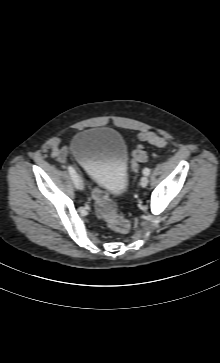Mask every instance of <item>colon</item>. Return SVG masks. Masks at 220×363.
Instances as JSON below:
<instances>
[{
    "label": "colon",
    "instance_id": "5ec220e1",
    "mask_svg": "<svg viewBox=\"0 0 220 363\" xmlns=\"http://www.w3.org/2000/svg\"><path fill=\"white\" fill-rule=\"evenodd\" d=\"M140 139L156 146H163L166 140L154 132H143ZM147 160V152L142 144L136 146L132 153V168ZM95 202V210L109 228L118 232L126 233L130 229V222L115 207L107 193L99 188H95L92 193Z\"/></svg>",
    "mask_w": 220,
    "mask_h": 363
}]
</instances>
